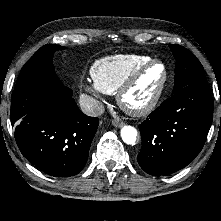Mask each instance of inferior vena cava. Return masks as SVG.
Instances as JSON below:
<instances>
[{"mask_svg": "<svg viewBox=\"0 0 221 221\" xmlns=\"http://www.w3.org/2000/svg\"><path fill=\"white\" fill-rule=\"evenodd\" d=\"M79 104L82 112L89 116H99L104 113V105L97 99L82 94L79 99Z\"/></svg>", "mask_w": 221, "mask_h": 221, "instance_id": "obj_1", "label": "inferior vena cava"}]
</instances>
